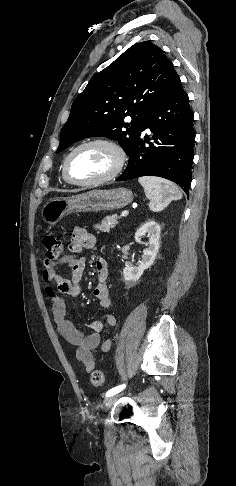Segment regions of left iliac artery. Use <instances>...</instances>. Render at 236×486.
<instances>
[{"instance_id":"left-iliac-artery-1","label":"left iliac artery","mask_w":236,"mask_h":486,"mask_svg":"<svg viewBox=\"0 0 236 486\" xmlns=\"http://www.w3.org/2000/svg\"><path fill=\"white\" fill-rule=\"evenodd\" d=\"M125 386H126L125 384H122L120 386L114 387V388L108 390L105 396L109 397V396L115 395V394L119 393L120 391H122L125 388Z\"/></svg>"}]
</instances>
